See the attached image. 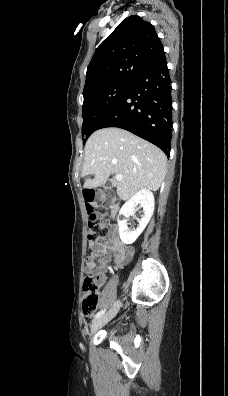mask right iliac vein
<instances>
[{
    "mask_svg": "<svg viewBox=\"0 0 228 396\" xmlns=\"http://www.w3.org/2000/svg\"><path fill=\"white\" fill-rule=\"evenodd\" d=\"M121 303L117 301L113 307L105 314L95 319L90 325V333L96 332L99 328L107 324L111 319H113L120 309Z\"/></svg>",
    "mask_w": 228,
    "mask_h": 396,
    "instance_id": "63e3f726",
    "label": "right iliac vein"
}]
</instances>
